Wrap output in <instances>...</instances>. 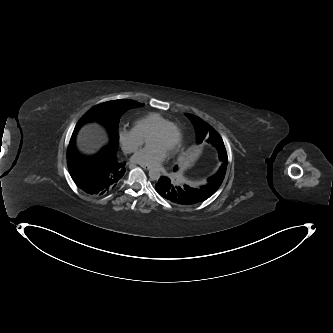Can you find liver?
<instances>
[{
  "mask_svg": "<svg viewBox=\"0 0 333 333\" xmlns=\"http://www.w3.org/2000/svg\"><path fill=\"white\" fill-rule=\"evenodd\" d=\"M76 142L83 153L92 155L108 142V137L101 125L91 123L80 129Z\"/></svg>",
  "mask_w": 333,
  "mask_h": 333,
  "instance_id": "liver-1",
  "label": "liver"
}]
</instances>
